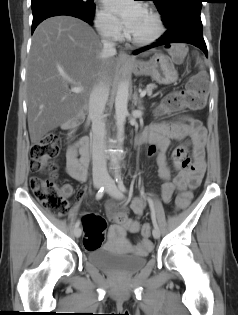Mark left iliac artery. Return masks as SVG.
<instances>
[{"instance_id":"44dca946","label":"left iliac artery","mask_w":238,"mask_h":315,"mask_svg":"<svg viewBox=\"0 0 238 315\" xmlns=\"http://www.w3.org/2000/svg\"><path fill=\"white\" fill-rule=\"evenodd\" d=\"M116 181H117L119 189L122 192H126L127 189H126V187H125V185L123 183V180H122L121 176H118ZM147 200H148V203H149V206H150V209H151V218H152L153 226H154V228H158L159 229L158 223L156 221V214H155V208H154L153 200L151 198H149V197L147 198Z\"/></svg>"}]
</instances>
